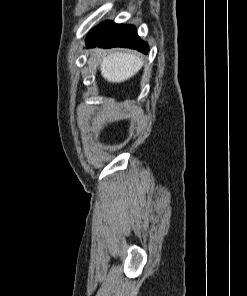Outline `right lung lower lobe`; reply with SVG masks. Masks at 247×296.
Here are the masks:
<instances>
[{
  "instance_id": "obj_1",
  "label": "right lung lower lobe",
  "mask_w": 247,
  "mask_h": 296,
  "mask_svg": "<svg viewBox=\"0 0 247 296\" xmlns=\"http://www.w3.org/2000/svg\"><path fill=\"white\" fill-rule=\"evenodd\" d=\"M86 46L88 48L126 47L144 54L148 52V45L138 37L134 26L115 24L110 21L100 24L90 32Z\"/></svg>"
}]
</instances>
